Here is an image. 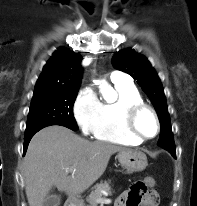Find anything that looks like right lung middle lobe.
I'll return each instance as SVG.
<instances>
[{
    "mask_svg": "<svg viewBox=\"0 0 197 206\" xmlns=\"http://www.w3.org/2000/svg\"><path fill=\"white\" fill-rule=\"evenodd\" d=\"M77 92L78 89L34 91L25 137L51 125H61L76 131L78 126L73 115V104Z\"/></svg>",
    "mask_w": 197,
    "mask_h": 206,
    "instance_id": "1",
    "label": "right lung middle lobe"
}]
</instances>
